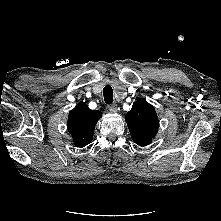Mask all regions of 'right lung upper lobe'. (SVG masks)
Wrapping results in <instances>:
<instances>
[{
    "label": "right lung upper lobe",
    "mask_w": 221,
    "mask_h": 221,
    "mask_svg": "<svg viewBox=\"0 0 221 221\" xmlns=\"http://www.w3.org/2000/svg\"><path fill=\"white\" fill-rule=\"evenodd\" d=\"M101 116L100 111L90 110L84 102L69 112L67 127L77 147H84L91 142L95 125Z\"/></svg>",
    "instance_id": "obj_1"
}]
</instances>
